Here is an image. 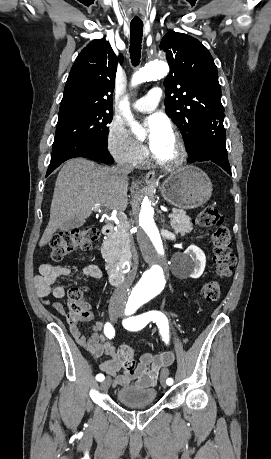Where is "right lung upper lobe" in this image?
I'll use <instances>...</instances> for the list:
<instances>
[{
	"mask_svg": "<svg viewBox=\"0 0 271 459\" xmlns=\"http://www.w3.org/2000/svg\"><path fill=\"white\" fill-rule=\"evenodd\" d=\"M118 58L104 39L90 42L78 55L68 76L59 113L112 112Z\"/></svg>",
	"mask_w": 271,
	"mask_h": 459,
	"instance_id": "obj_1",
	"label": "right lung upper lobe"
}]
</instances>
